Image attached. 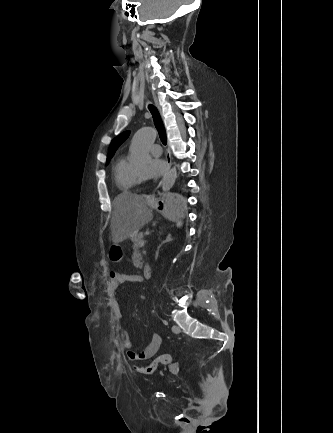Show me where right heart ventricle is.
Segmentation results:
<instances>
[{
	"instance_id": "obj_1",
	"label": "right heart ventricle",
	"mask_w": 333,
	"mask_h": 433,
	"mask_svg": "<svg viewBox=\"0 0 333 433\" xmlns=\"http://www.w3.org/2000/svg\"><path fill=\"white\" fill-rule=\"evenodd\" d=\"M134 171V167L124 155L117 157L113 166V178L115 185L121 192H127L136 185Z\"/></svg>"
}]
</instances>
